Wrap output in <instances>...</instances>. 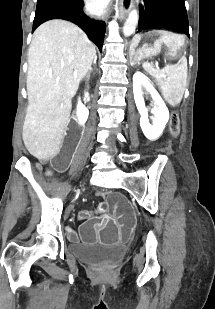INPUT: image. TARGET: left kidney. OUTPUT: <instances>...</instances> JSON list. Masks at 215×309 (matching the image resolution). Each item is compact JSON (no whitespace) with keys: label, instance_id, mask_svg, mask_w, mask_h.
<instances>
[{"label":"left kidney","instance_id":"obj_1","mask_svg":"<svg viewBox=\"0 0 215 309\" xmlns=\"http://www.w3.org/2000/svg\"><path fill=\"white\" fill-rule=\"evenodd\" d=\"M142 86H144L147 92H150L153 100H155V102H153L154 108H152L153 116H150L153 124L149 122L148 108H146L142 96V94H144ZM133 94L136 106L141 114L140 126L146 138H149V140H156V138L162 134L165 124L169 120V110L159 92H157L156 88L149 82L147 76H145L143 72H140V70H137V72L133 74Z\"/></svg>","mask_w":215,"mask_h":309}]
</instances>
